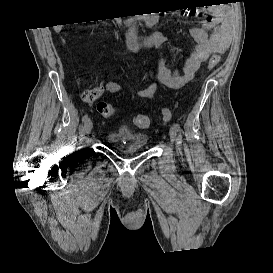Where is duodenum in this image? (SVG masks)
<instances>
[{
	"label": "duodenum",
	"instance_id": "obj_1",
	"mask_svg": "<svg viewBox=\"0 0 273 273\" xmlns=\"http://www.w3.org/2000/svg\"><path fill=\"white\" fill-rule=\"evenodd\" d=\"M141 20L148 26L154 25L158 22V18L155 14H147L140 17ZM129 21H132V18H129Z\"/></svg>",
	"mask_w": 273,
	"mask_h": 273
}]
</instances>
